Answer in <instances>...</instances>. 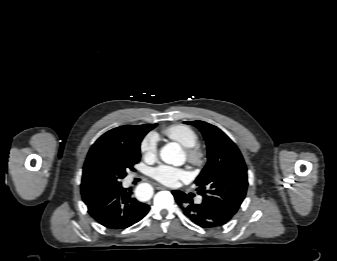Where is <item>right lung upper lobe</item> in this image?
I'll return each instance as SVG.
<instances>
[{
	"instance_id": "right-lung-upper-lobe-1",
	"label": "right lung upper lobe",
	"mask_w": 337,
	"mask_h": 261,
	"mask_svg": "<svg viewBox=\"0 0 337 261\" xmlns=\"http://www.w3.org/2000/svg\"><path fill=\"white\" fill-rule=\"evenodd\" d=\"M156 124H144V125H129L121 126L109 130L103 134L91 148H94L99 145H109V144H129L134 142L137 137L145 136L147 132L152 130ZM83 201L86 204L91 203L95 198H89L82 195Z\"/></svg>"
}]
</instances>
